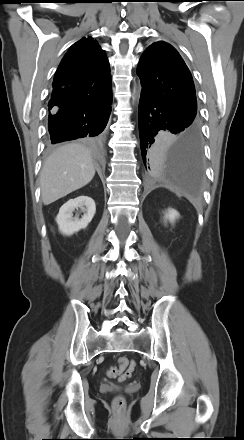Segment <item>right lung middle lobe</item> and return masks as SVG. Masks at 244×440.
<instances>
[{
    "label": "right lung middle lobe",
    "mask_w": 244,
    "mask_h": 440,
    "mask_svg": "<svg viewBox=\"0 0 244 440\" xmlns=\"http://www.w3.org/2000/svg\"><path fill=\"white\" fill-rule=\"evenodd\" d=\"M87 139L92 140V141H96L97 140V138H90V137H88Z\"/></svg>",
    "instance_id": "right-lung-middle-lobe-1"
}]
</instances>
